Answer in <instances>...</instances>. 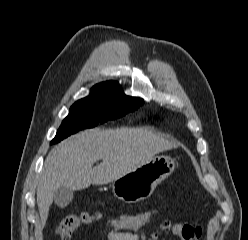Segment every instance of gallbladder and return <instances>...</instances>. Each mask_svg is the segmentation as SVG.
Here are the masks:
<instances>
[{
    "instance_id": "obj_1",
    "label": "gallbladder",
    "mask_w": 248,
    "mask_h": 240,
    "mask_svg": "<svg viewBox=\"0 0 248 240\" xmlns=\"http://www.w3.org/2000/svg\"><path fill=\"white\" fill-rule=\"evenodd\" d=\"M73 199V190L61 187L54 192V201L57 207L65 208Z\"/></svg>"
}]
</instances>
